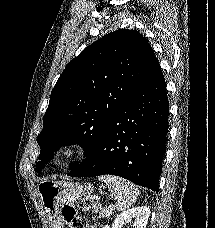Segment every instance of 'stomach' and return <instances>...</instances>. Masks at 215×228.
<instances>
[{"mask_svg": "<svg viewBox=\"0 0 215 228\" xmlns=\"http://www.w3.org/2000/svg\"><path fill=\"white\" fill-rule=\"evenodd\" d=\"M92 184L53 182L45 180L38 186V194L45 210L49 228H65L63 206L74 204L82 196L93 194Z\"/></svg>", "mask_w": 215, "mask_h": 228, "instance_id": "1", "label": "stomach"}]
</instances>
